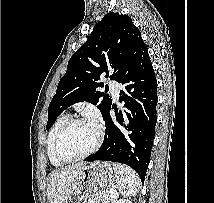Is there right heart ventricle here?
<instances>
[{"label": "right heart ventricle", "instance_id": "obj_1", "mask_svg": "<svg viewBox=\"0 0 214 203\" xmlns=\"http://www.w3.org/2000/svg\"><path fill=\"white\" fill-rule=\"evenodd\" d=\"M70 119L69 113H64L60 115L55 123L53 124L47 138V155L48 158L53 166L60 167L64 163H62L60 160L57 159V157L54 154V141L56 138V135L58 131L61 129V127Z\"/></svg>", "mask_w": 214, "mask_h": 203}]
</instances>
